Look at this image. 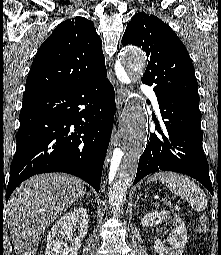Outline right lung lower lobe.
I'll list each match as a JSON object with an SVG mask.
<instances>
[{"label": "right lung lower lobe", "instance_id": "right-lung-lower-lobe-1", "mask_svg": "<svg viewBox=\"0 0 221 255\" xmlns=\"http://www.w3.org/2000/svg\"><path fill=\"white\" fill-rule=\"evenodd\" d=\"M106 75L23 99L6 201L24 180L48 172L73 174L99 192L115 108Z\"/></svg>", "mask_w": 221, "mask_h": 255}]
</instances>
